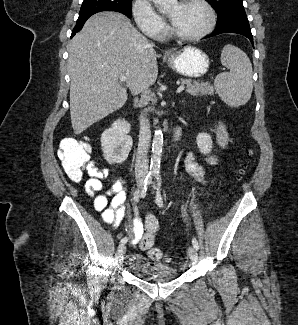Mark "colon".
I'll list each match as a JSON object with an SVG mask.
<instances>
[{"instance_id":"5ec220e1","label":"colon","mask_w":298,"mask_h":325,"mask_svg":"<svg viewBox=\"0 0 298 325\" xmlns=\"http://www.w3.org/2000/svg\"><path fill=\"white\" fill-rule=\"evenodd\" d=\"M60 159L64 171L69 179L80 181L85 172L93 170L96 164L89 159V148L87 144L67 145L60 151ZM145 232L139 240L140 248L147 251L149 256L156 261H169L160 249L154 246L155 234L159 230V222L154 215H147L144 219Z\"/></svg>"}]
</instances>
